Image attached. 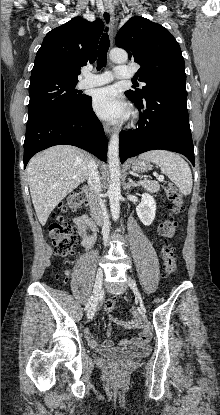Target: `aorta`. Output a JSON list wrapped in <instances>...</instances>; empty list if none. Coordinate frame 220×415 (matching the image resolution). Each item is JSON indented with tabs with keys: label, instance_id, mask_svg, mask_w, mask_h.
I'll list each match as a JSON object with an SVG mask.
<instances>
[{
	"label": "aorta",
	"instance_id": "1",
	"mask_svg": "<svg viewBox=\"0 0 220 415\" xmlns=\"http://www.w3.org/2000/svg\"><path fill=\"white\" fill-rule=\"evenodd\" d=\"M110 59L115 63H125L128 60V54L125 50L114 48L110 51ZM108 166L110 171V182L108 188V197L110 203V211L115 221L119 219L120 215V199H121V185H120V158H119V134L111 135L108 145Z\"/></svg>",
	"mask_w": 220,
	"mask_h": 415
}]
</instances>
